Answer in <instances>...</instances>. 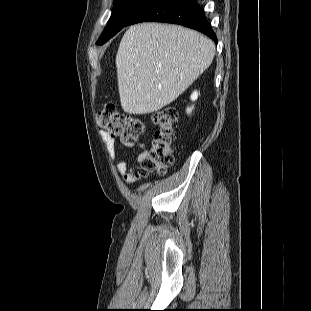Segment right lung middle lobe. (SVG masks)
<instances>
[{"instance_id":"dd1d6c3e","label":"right lung middle lobe","mask_w":311,"mask_h":311,"mask_svg":"<svg viewBox=\"0 0 311 311\" xmlns=\"http://www.w3.org/2000/svg\"><path fill=\"white\" fill-rule=\"evenodd\" d=\"M155 0H114V8L111 17L101 34L97 44H104L123 27L143 8Z\"/></svg>"}]
</instances>
